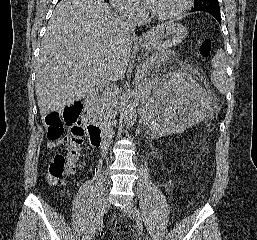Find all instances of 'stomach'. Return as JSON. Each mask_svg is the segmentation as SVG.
Returning <instances> with one entry per match:
<instances>
[{
    "label": "stomach",
    "instance_id": "stomach-1",
    "mask_svg": "<svg viewBox=\"0 0 257 240\" xmlns=\"http://www.w3.org/2000/svg\"><path fill=\"white\" fill-rule=\"evenodd\" d=\"M186 36V29L176 22H166L157 27L146 47L163 50L181 43Z\"/></svg>",
    "mask_w": 257,
    "mask_h": 240
}]
</instances>
